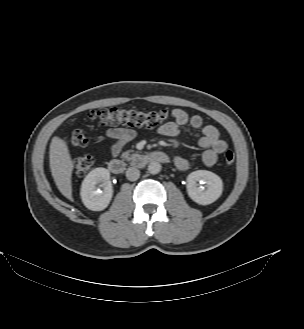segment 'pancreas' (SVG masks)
I'll return each instance as SVG.
<instances>
[{"label":"pancreas","instance_id":"pancreas-1","mask_svg":"<svg viewBox=\"0 0 304 329\" xmlns=\"http://www.w3.org/2000/svg\"><path fill=\"white\" fill-rule=\"evenodd\" d=\"M132 151H127V152H124L122 155H121V158L122 159H125V160H132L134 159V157L136 156V154H131Z\"/></svg>","mask_w":304,"mask_h":329}]
</instances>
